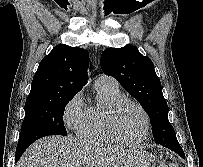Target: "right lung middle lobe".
I'll return each instance as SVG.
<instances>
[{
    "label": "right lung middle lobe",
    "instance_id": "right-lung-middle-lobe-1",
    "mask_svg": "<svg viewBox=\"0 0 203 167\" xmlns=\"http://www.w3.org/2000/svg\"><path fill=\"white\" fill-rule=\"evenodd\" d=\"M72 98L73 96L25 103V117L17 149L29 146L41 137L49 135L66 136L63 114L65 106Z\"/></svg>",
    "mask_w": 203,
    "mask_h": 167
}]
</instances>
